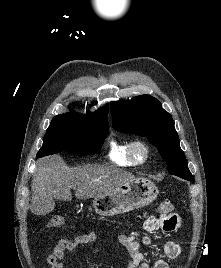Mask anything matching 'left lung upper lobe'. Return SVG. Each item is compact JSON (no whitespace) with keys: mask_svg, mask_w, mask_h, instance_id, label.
<instances>
[{"mask_svg":"<svg viewBox=\"0 0 221 268\" xmlns=\"http://www.w3.org/2000/svg\"><path fill=\"white\" fill-rule=\"evenodd\" d=\"M115 130L147 137L167 162L169 173L186 180L192 177L172 116L161 103L149 95H140L123 102H111Z\"/></svg>","mask_w":221,"mask_h":268,"instance_id":"1","label":"left lung upper lobe"}]
</instances>
